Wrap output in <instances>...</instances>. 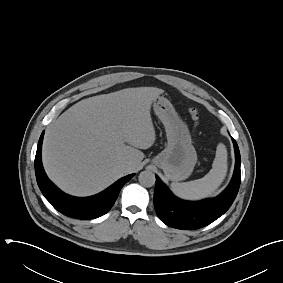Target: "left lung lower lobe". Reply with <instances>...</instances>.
Masks as SVG:
<instances>
[{
	"instance_id": "obj_1",
	"label": "left lung lower lobe",
	"mask_w": 283,
	"mask_h": 283,
	"mask_svg": "<svg viewBox=\"0 0 283 283\" xmlns=\"http://www.w3.org/2000/svg\"><path fill=\"white\" fill-rule=\"evenodd\" d=\"M235 149V169L228 187L216 198L190 202L178 199L156 175L154 207L159 219L177 229H199L223 215L232 205L240 186V152Z\"/></svg>"
}]
</instances>
